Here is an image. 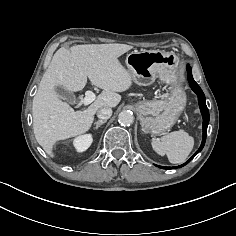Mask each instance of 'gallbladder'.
<instances>
[{
  "label": "gallbladder",
  "mask_w": 236,
  "mask_h": 236,
  "mask_svg": "<svg viewBox=\"0 0 236 236\" xmlns=\"http://www.w3.org/2000/svg\"><path fill=\"white\" fill-rule=\"evenodd\" d=\"M55 91L57 92V94L59 95V97L67 102H69L70 104H74L76 101L75 95L66 90L63 86H56L55 87Z\"/></svg>",
  "instance_id": "bac80fb5"
}]
</instances>
